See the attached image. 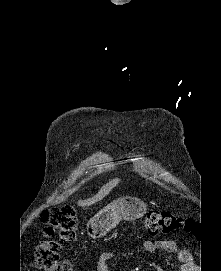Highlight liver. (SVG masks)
<instances>
[{
  "label": "liver",
  "instance_id": "1",
  "mask_svg": "<svg viewBox=\"0 0 221 271\" xmlns=\"http://www.w3.org/2000/svg\"><path fill=\"white\" fill-rule=\"evenodd\" d=\"M113 187V183H105L103 187H101L100 191L96 193V195H93V197H90V199H85V201H79V205H92V203H96V201H101L109 191H111Z\"/></svg>",
  "mask_w": 221,
  "mask_h": 271
}]
</instances>
